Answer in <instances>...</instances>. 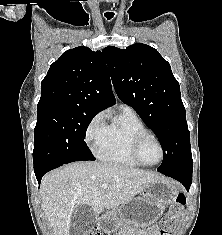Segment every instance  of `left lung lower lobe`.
I'll list each match as a JSON object with an SVG mask.
<instances>
[{
  "label": "left lung lower lobe",
  "instance_id": "obj_1",
  "mask_svg": "<svg viewBox=\"0 0 222 235\" xmlns=\"http://www.w3.org/2000/svg\"><path fill=\"white\" fill-rule=\"evenodd\" d=\"M160 173L172 177L182 183L189 191L192 182V171H159Z\"/></svg>",
  "mask_w": 222,
  "mask_h": 235
}]
</instances>
